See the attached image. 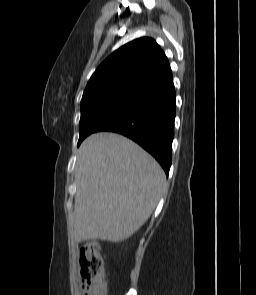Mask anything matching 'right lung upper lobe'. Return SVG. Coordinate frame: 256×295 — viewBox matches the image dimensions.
Masks as SVG:
<instances>
[{
    "mask_svg": "<svg viewBox=\"0 0 256 295\" xmlns=\"http://www.w3.org/2000/svg\"><path fill=\"white\" fill-rule=\"evenodd\" d=\"M169 69L168 59L155 40H133L99 65L86 86L81 106L117 95L137 94Z\"/></svg>",
    "mask_w": 256,
    "mask_h": 295,
    "instance_id": "obj_1",
    "label": "right lung upper lobe"
}]
</instances>
